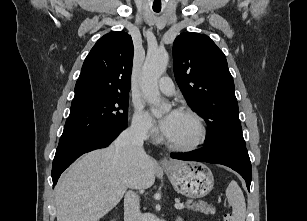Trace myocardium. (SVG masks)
I'll use <instances>...</instances> for the list:
<instances>
[{"mask_svg":"<svg viewBox=\"0 0 307 221\" xmlns=\"http://www.w3.org/2000/svg\"><path fill=\"white\" fill-rule=\"evenodd\" d=\"M180 113L188 115L189 117L194 119L198 127L197 137L193 141L189 143H184V144L172 143L168 139L165 140V143L170 149L179 151V152H188V151L195 150L199 146H201L206 140L207 127H206L205 121L199 113L189 108L181 109Z\"/></svg>","mask_w":307,"mask_h":221,"instance_id":"myocardium-1","label":"myocardium"}]
</instances>
